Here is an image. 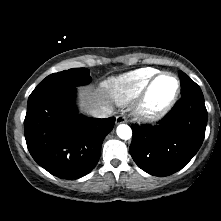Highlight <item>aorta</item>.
Returning a JSON list of instances; mask_svg holds the SVG:
<instances>
[{"label": "aorta", "mask_w": 221, "mask_h": 221, "mask_svg": "<svg viewBox=\"0 0 221 221\" xmlns=\"http://www.w3.org/2000/svg\"><path fill=\"white\" fill-rule=\"evenodd\" d=\"M116 132H117L118 137L123 139V140H128L132 137V130L126 124H120L117 127Z\"/></svg>", "instance_id": "762f6f07"}]
</instances>
